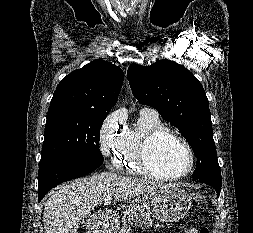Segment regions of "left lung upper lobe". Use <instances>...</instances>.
<instances>
[{"label": "left lung upper lobe", "instance_id": "left-lung-upper-lobe-1", "mask_svg": "<svg viewBox=\"0 0 253 233\" xmlns=\"http://www.w3.org/2000/svg\"><path fill=\"white\" fill-rule=\"evenodd\" d=\"M127 78L137 100L155 108L191 145L197 158L192 177L221 181L209 103L198 79L167 59L146 67L133 64Z\"/></svg>", "mask_w": 253, "mask_h": 233}]
</instances>
